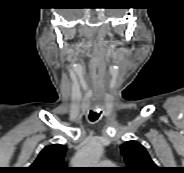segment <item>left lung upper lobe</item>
Returning <instances> with one entry per match:
<instances>
[{
    "instance_id": "5c2ea615",
    "label": "left lung upper lobe",
    "mask_w": 184,
    "mask_h": 173,
    "mask_svg": "<svg viewBox=\"0 0 184 173\" xmlns=\"http://www.w3.org/2000/svg\"><path fill=\"white\" fill-rule=\"evenodd\" d=\"M121 152L127 165L123 168L124 173H158V167L140 143L125 142L121 145Z\"/></svg>"
}]
</instances>
